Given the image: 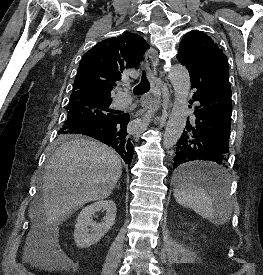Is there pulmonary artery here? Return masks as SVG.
<instances>
[{"instance_id": "1", "label": "pulmonary artery", "mask_w": 263, "mask_h": 275, "mask_svg": "<svg viewBox=\"0 0 263 275\" xmlns=\"http://www.w3.org/2000/svg\"><path fill=\"white\" fill-rule=\"evenodd\" d=\"M132 102L131 96L127 92H120L114 100V106L117 108H125Z\"/></svg>"}]
</instances>
